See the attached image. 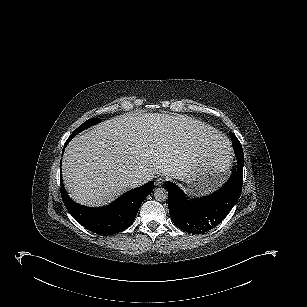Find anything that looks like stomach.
I'll return each mask as SVG.
<instances>
[{
    "instance_id": "stomach-1",
    "label": "stomach",
    "mask_w": 307,
    "mask_h": 307,
    "mask_svg": "<svg viewBox=\"0 0 307 307\" xmlns=\"http://www.w3.org/2000/svg\"><path fill=\"white\" fill-rule=\"evenodd\" d=\"M228 172V167L221 161L201 166L185 179L187 191L193 195L211 192L225 180Z\"/></svg>"
}]
</instances>
